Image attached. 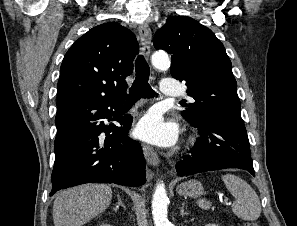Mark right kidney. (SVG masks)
I'll use <instances>...</instances> for the list:
<instances>
[{
  "label": "right kidney",
  "mask_w": 297,
  "mask_h": 226,
  "mask_svg": "<svg viewBox=\"0 0 297 226\" xmlns=\"http://www.w3.org/2000/svg\"><path fill=\"white\" fill-rule=\"evenodd\" d=\"M101 226H111V225H109V224H103V225H101Z\"/></svg>",
  "instance_id": "1"
}]
</instances>
